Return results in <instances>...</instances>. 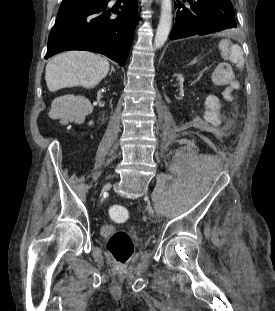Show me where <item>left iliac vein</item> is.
<instances>
[{
  "instance_id": "obj_1",
  "label": "left iliac vein",
  "mask_w": 275,
  "mask_h": 311,
  "mask_svg": "<svg viewBox=\"0 0 275 311\" xmlns=\"http://www.w3.org/2000/svg\"><path fill=\"white\" fill-rule=\"evenodd\" d=\"M148 212L150 215H153V209L150 206H148Z\"/></svg>"
}]
</instances>
